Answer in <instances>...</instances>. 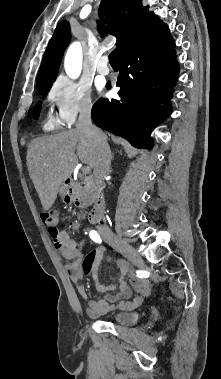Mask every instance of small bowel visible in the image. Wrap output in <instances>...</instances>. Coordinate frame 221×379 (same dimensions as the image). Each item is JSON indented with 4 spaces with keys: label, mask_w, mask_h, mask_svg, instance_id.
I'll list each match as a JSON object with an SVG mask.
<instances>
[{
    "label": "small bowel",
    "mask_w": 221,
    "mask_h": 379,
    "mask_svg": "<svg viewBox=\"0 0 221 379\" xmlns=\"http://www.w3.org/2000/svg\"><path fill=\"white\" fill-rule=\"evenodd\" d=\"M62 257L67 260V271L70 280L77 287L78 293L88 301L87 314L97 317L114 309L131 310L139 306L150 294L147 282L134 275L126 263H119L121 276L118 283L103 285L98 278L97 270L104 258L105 249L100 247L91 253H86L82 260V253L77 247V241L72 239L67 231L58 230L55 235L50 234ZM84 274L88 282L95 283L96 290L104 294L99 300H89L84 284ZM128 278L133 290L126 282ZM119 287V291L116 289ZM136 294V295H135Z\"/></svg>",
    "instance_id": "1"
}]
</instances>
